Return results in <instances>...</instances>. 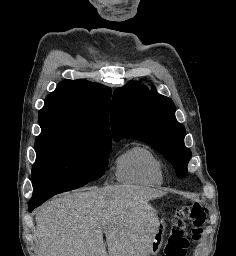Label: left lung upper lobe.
<instances>
[{"label": "left lung upper lobe", "mask_w": 236, "mask_h": 256, "mask_svg": "<svg viewBox=\"0 0 236 256\" xmlns=\"http://www.w3.org/2000/svg\"><path fill=\"white\" fill-rule=\"evenodd\" d=\"M111 120L115 141L133 137L150 144L171 162L179 178L187 174L191 151L185 147V128L176 120L170 98L132 82L115 90Z\"/></svg>", "instance_id": "obj_1"}]
</instances>
